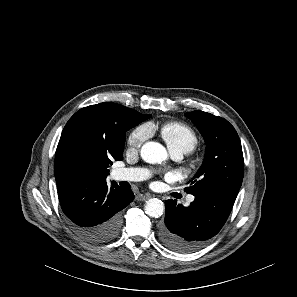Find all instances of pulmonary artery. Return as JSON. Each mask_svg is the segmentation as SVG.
Here are the masks:
<instances>
[{
	"mask_svg": "<svg viewBox=\"0 0 297 297\" xmlns=\"http://www.w3.org/2000/svg\"><path fill=\"white\" fill-rule=\"evenodd\" d=\"M189 151L183 148L171 150V155L175 159L182 158ZM148 177V171L142 168H118L112 172V178L117 181H140ZM188 202L194 201V196L188 197Z\"/></svg>",
	"mask_w": 297,
	"mask_h": 297,
	"instance_id": "1",
	"label": "pulmonary artery"
}]
</instances>
